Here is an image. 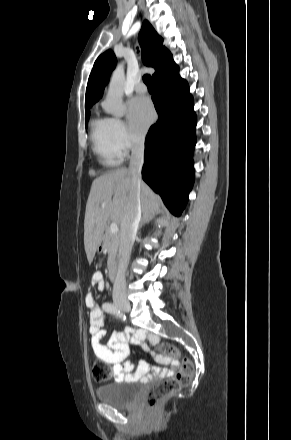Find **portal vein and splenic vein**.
<instances>
[{"label":"portal vein and splenic vein","instance_id":"portal-vein-and-splenic-vein-1","mask_svg":"<svg viewBox=\"0 0 291 440\" xmlns=\"http://www.w3.org/2000/svg\"><path fill=\"white\" fill-rule=\"evenodd\" d=\"M110 232H111L112 234H115V233L118 232V226H117L116 223H112V224L110 225Z\"/></svg>","mask_w":291,"mask_h":440}]
</instances>
